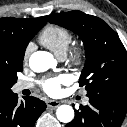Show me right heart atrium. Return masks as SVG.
Returning <instances> with one entry per match:
<instances>
[{
  "instance_id": "obj_1",
  "label": "right heart atrium",
  "mask_w": 127,
  "mask_h": 127,
  "mask_svg": "<svg viewBox=\"0 0 127 127\" xmlns=\"http://www.w3.org/2000/svg\"><path fill=\"white\" fill-rule=\"evenodd\" d=\"M33 49H34V44L33 43L28 44V46L26 47L25 53H24V60L25 61L28 60Z\"/></svg>"
}]
</instances>
